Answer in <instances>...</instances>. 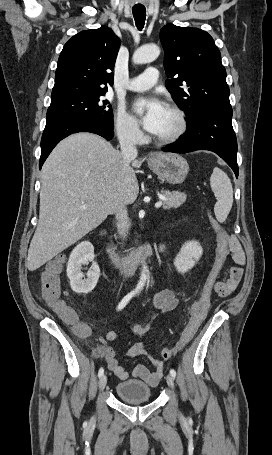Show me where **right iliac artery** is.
Here are the masks:
<instances>
[{
    "instance_id": "obj_1",
    "label": "right iliac artery",
    "mask_w": 272,
    "mask_h": 455,
    "mask_svg": "<svg viewBox=\"0 0 272 455\" xmlns=\"http://www.w3.org/2000/svg\"><path fill=\"white\" fill-rule=\"evenodd\" d=\"M133 295H134V293H128L119 303L117 310L118 311L122 310L126 306V304L131 300ZM103 373H104V369L101 367L98 371V376L101 377L103 375Z\"/></svg>"
}]
</instances>
